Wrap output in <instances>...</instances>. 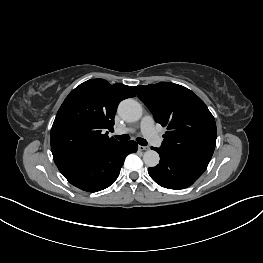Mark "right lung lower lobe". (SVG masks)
Segmentation results:
<instances>
[{
  "label": "right lung lower lobe",
  "instance_id": "right-lung-lower-lobe-1",
  "mask_svg": "<svg viewBox=\"0 0 263 263\" xmlns=\"http://www.w3.org/2000/svg\"><path fill=\"white\" fill-rule=\"evenodd\" d=\"M137 149L135 141L119 142L58 169L72 185L84 191L97 192L114 183L125 157Z\"/></svg>",
  "mask_w": 263,
  "mask_h": 263
}]
</instances>
